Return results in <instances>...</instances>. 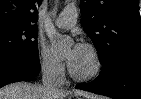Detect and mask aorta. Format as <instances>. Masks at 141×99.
I'll use <instances>...</instances> for the list:
<instances>
[{
    "label": "aorta",
    "instance_id": "aorta-1",
    "mask_svg": "<svg viewBox=\"0 0 141 99\" xmlns=\"http://www.w3.org/2000/svg\"><path fill=\"white\" fill-rule=\"evenodd\" d=\"M46 33L51 42L52 51L55 54L63 53L68 49L70 45L68 37L61 36L51 25H47Z\"/></svg>",
    "mask_w": 141,
    "mask_h": 99
}]
</instances>
